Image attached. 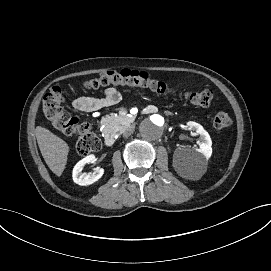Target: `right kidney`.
<instances>
[{
    "label": "right kidney",
    "instance_id": "right-kidney-1",
    "mask_svg": "<svg viewBox=\"0 0 271 271\" xmlns=\"http://www.w3.org/2000/svg\"><path fill=\"white\" fill-rule=\"evenodd\" d=\"M96 161L95 156L89 155L80 160L73 168L72 177L73 181L79 185H90L100 179L104 173V169L96 167L93 173H82V170L86 164L94 163Z\"/></svg>",
    "mask_w": 271,
    "mask_h": 271
}]
</instances>
